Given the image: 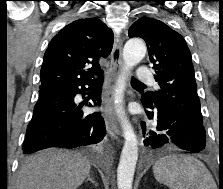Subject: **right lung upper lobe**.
Instances as JSON below:
<instances>
[{
	"label": "right lung upper lobe",
	"instance_id": "cb5924a9",
	"mask_svg": "<svg viewBox=\"0 0 223 189\" xmlns=\"http://www.w3.org/2000/svg\"><path fill=\"white\" fill-rule=\"evenodd\" d=\"M113 33L101 20H76L51 40L41 67V89L72 87L93 83L102 72L100 57L113 47Z\"/></svg>",
	"mask_w": 223,
	"mask_h": 189
}]
</instances>
